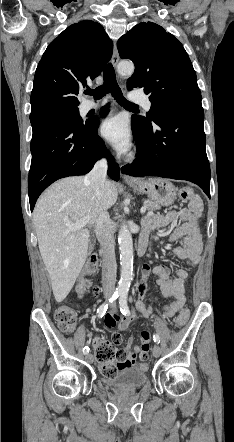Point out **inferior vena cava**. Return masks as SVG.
I'll return each instance as SVG.
<instances>
[{"label":"inferior vena cava","mask_w":234,"mask_h":442,"mask_svg":"<svg viewBox=\"0 0 234 442\" xmlns=\"http://www.w3.org/2000/svg\"><path fill=\"white\" fill-rule=\"evenodd\" d=\"M107 161H97L93 169L85 176V182L90 184L96 195L104 188L107 174ZM97 239L103 255L102 286L104 295L109 297L115 290L117 264L115 259V239L111 219L107 210H103L95 221Z\"/></svg>","instance_id":"1"}]
</instances>
